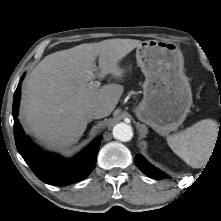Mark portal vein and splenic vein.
Here are the masks:
<instances>
[{
    "mask_svg": "<svg viewBox=\"0 0 221 221\" xmlns=\"http://www.w3.org/2000/svg\"><path fill=\"white\" fill-rule=\"evenodd\" d=\"M91 84L96 86V87L100 86V82L99 81H91Z\"/></svg>",
    "mask_w": 221,
    "mask_h": 221,
    "instance_id": "1",
    "label": "portal vein and splenic vein"
}]
</instances>
